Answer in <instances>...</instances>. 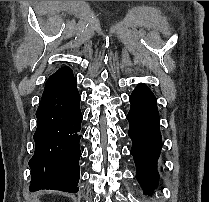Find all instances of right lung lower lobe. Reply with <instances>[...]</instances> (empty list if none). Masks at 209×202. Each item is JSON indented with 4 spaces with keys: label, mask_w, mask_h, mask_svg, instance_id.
Listing matches in <instances>:
<instances>
[{
    "label": "right lung lower lobe",
    "mask_w": 209,
    "mask_h": 202,
    "mask_svg": "<svg viewBox=\"0 0 209 202\" xmlns=\"http://www.w3.org/2000/svg\"><path fill=\"white\" fill-rule=\"evenodd\" d=\"M36 117L35 152L29 161L30 191L52 189L76 193L83 116L76 79L70 68L62 67L48 78Z\"/></svg>",
    "instance_id": "98d812e1"
}]
</instances>
